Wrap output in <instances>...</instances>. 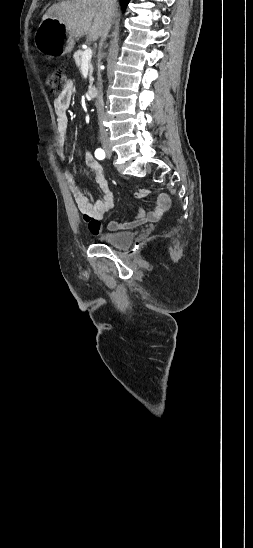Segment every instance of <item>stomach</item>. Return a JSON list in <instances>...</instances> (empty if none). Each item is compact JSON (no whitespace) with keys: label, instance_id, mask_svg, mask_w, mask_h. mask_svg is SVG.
I'll use <instances>...</instances> for the list:
<instances>
[{"label":"stomach","instance_id":"stomach-1","mask_svg":"<svg viewBox=\"0 0 253 548\" xmlns=\"http://www.w3.org/2000/svg\"><path fill=\"white\" fill-rule=\"evenodd\" d=\"M35 46L39 52L50 56H63L72 51L74 38L59 20H43L35 33Z\"/></svg>","mask_w":253,"mask_h":548}]
</instances>
